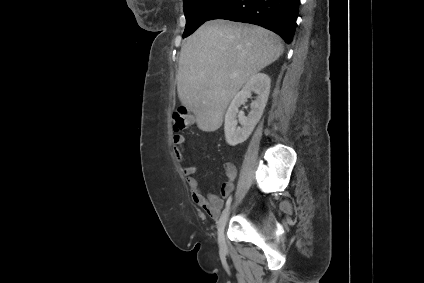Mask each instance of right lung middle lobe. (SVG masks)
<instances>
[{"label": "right lung middle lobe", "instance_id": "dd1d6c3e", "mask_svg": "<svg viewBox=\"0 0 424 283\" xmlns=\"http://www.w3.org/2000/svg\"><path fill=\"white\" fill-rule=\"evenodd\" d=\"M228 0H184L186 27L183 38L192 34L199 26L223 7Z\"/></svg>", "mask_w": 424, "mask_h": 283}]
</instances>
